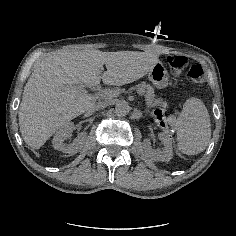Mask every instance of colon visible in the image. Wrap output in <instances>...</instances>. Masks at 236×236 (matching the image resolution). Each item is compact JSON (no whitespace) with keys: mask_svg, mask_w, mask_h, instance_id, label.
Returning <instances> with one entry per match:
<instances>
[{"mask_svg":"<svg viewBox=\"0 0 236 236\" xmlns=\"http://www.w3.org/2000/svg\"><path fill=\"white\" fill-rule=\"evenodd\" d=\"M188 63V58L182 54L171 53L167 56V64L170 70L176 74H181L185 66ZM204 70L200 63L194 62L189 70L188 77L194 83L203 82ZM165 115V111L161 105H157L154 109V116L156 119H162Z\"/></svg>","mask_w":236,"mask_h":236,"instance_id":"1","label":"colon"}]
</instances>
